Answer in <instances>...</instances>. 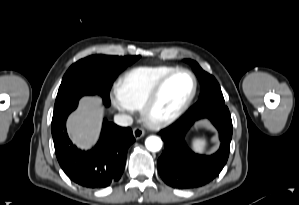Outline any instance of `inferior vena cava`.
Masks as SVG:
<instances>
[{"instance_id":"602c4592","label":"inferior vena cava","mask_w":299,"mask_h":205,"mask_svg":"<svg viewBox=\"0 0 299 205\" xmlns=\"http://www.w3.org/2000/svg\"><path fill=\"white\" fill-rule=\"evenodd\" d=\"M114 122L119 126H130L133 123V118L130 115L119 114L115 115Z\"/></svg>"}]
</instances>
